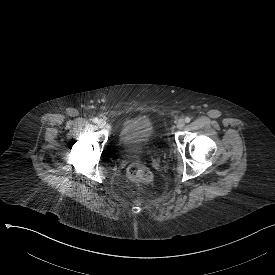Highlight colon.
Wrapping results in <instances>:
<instances>
[{"mask_svg": "<svg viewBox=\"0 0 275 275\" xmlns=\"http://www.w3.org/2000/svg\"><path fill=\"white\" fill-rule=\"evenodd\" d=\"M127 177L141 184H149L152 182V172L145 166L139 164H131L127 168Z\"/></svg>", "mask_w": 275, "mask_h": 275, "instance_id": "obj_1", "label": "colon"}]
</instances>
